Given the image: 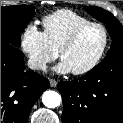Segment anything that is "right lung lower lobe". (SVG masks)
Wrapping results in <instances>:
<instances>
[{
	"label": "right lung lower lobe",
	"instance_id": "right-lung-lower-lobe-1",
	"mask_svg": "<svg viewBox=\"0 0 123 123\" xmlns=\"http://www.w3.org/2000/svg\"><path fill=\"white\" fill-rule=\"evenodd\" d=\"M47 88V78L25 71L19 49L1 44V123H27L32 106Z\"/></svg>",
	"mask_w": 123,
	"mask_h": 123
}]
</instances>
